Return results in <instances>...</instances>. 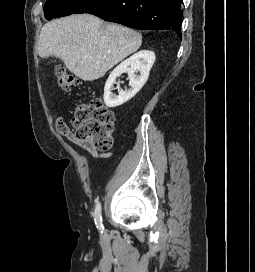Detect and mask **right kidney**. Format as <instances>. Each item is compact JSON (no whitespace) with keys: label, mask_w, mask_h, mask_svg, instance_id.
Returning a JSON list of instances; mask_svg holds the SVG:
<instances>
[{"label":"right kidney","mask_w":255,"mask_h":272,"mask_svg":"<svg viewBox=\"0 0 255 272\" xmlns=\"http://www.w3.org/2000/svg\"><path fill=\"white\" fill-rule=\"evenodd\" d=\"M155 54L149 50H141L118 65L109 75L104 87V102L110 108L118 107L134 97L146 83L149 72L154 64ZM140 73L136 75L135 73ZM123 73H128V90H119L116 96L111 90L116 78Z\"/></svg>","instance_id":"ca27d5eb"}]
</instances>
